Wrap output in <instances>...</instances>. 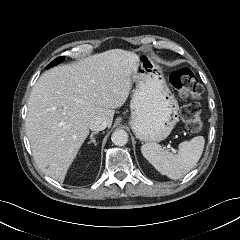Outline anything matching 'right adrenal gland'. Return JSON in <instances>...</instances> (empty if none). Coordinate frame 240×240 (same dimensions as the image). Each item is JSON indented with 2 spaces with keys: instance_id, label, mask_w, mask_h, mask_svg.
Returning a JSON list of instances; mask_svg holds the SVG:
<instances>
[{
  "instance_id": "1",
  "label": "right adrenal gland",
  "mask_w": 240,
  "mask_h": 240,
  "mask_svg": "<svg viewBox=\"0 0 240 240\" xmlns=\"http://www.w3.org/2000/svg\"><path fill=\"white\" fill-rule=\"evenodd\" d=\"M97 133H98V132H92V133L90 134V141L88 142V144L93 143L95 146L97 145V144H96V140H95V138H94V135L97 134Z\"/></svg>"
}]
</instances>
